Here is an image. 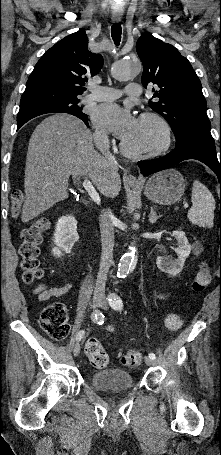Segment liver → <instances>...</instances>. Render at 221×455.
I'll use <instances>...</instances> for the list:
<instances>
[{"mask_svg": "<svg viewBox=\"0 0 221 455\" xmlns=\"http://www.w3.org/2000/svg\"><path fill=\"white\" fill-rule=\"evenodd\" d=\"M89 178L106 197L121 189L118 165L101 156L91 131L77 117L59 113L44 119L29 140L21 220L28 222L68 198L70 176Z\"/></svg>", "mask_w": 221, "mask_h": 455, "instance_id": "obj_1", "label": "liver"}]
</instances>
